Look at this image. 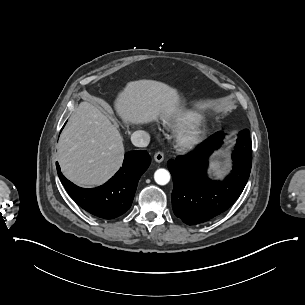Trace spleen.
<instances>
[{"mask_svg":"<svg viewBox=\"0 0 305 305\" xmlns=\"http://www.w3.org/2000/svg\"><path fill=\"white\" fill-rule=\"evenodd\" d=\"M221 163H222V158L216 157V158L214 159V168H215V170H216L218 173H221V172H222Z\"/></svg>","mask_w":305,"mask_h":305,"instance_id":"obj_1","label":"spleen"}]
</instances>
